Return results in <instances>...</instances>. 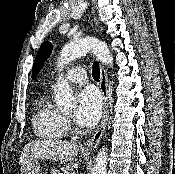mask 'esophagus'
<instances>
[{
  "label": "esophagus",
  "mask_w": 175,
  "mask_h": 174,
  "mask_svg": "<svg viewBox=\"0 0 175 174\" xmlns=\"http://www.w3.org/2000/svg\"><path fill=\"white\" fill-rule=\"evenodd\" d=\"M94 22H95V25H98V21H97L96 17H94ZM99 88H100V91L103 95V100H104L103 117H102V121H101L99 127L97 128V130L95 131V133L83 145V147L87 150H91V149H94L97 147V145L99 144V142H100V140L105 132L108 117H109L108 77H107V73H106L105 68L101 64H100Z\"/></svg>",
  "instance_id": "esophagus-1"
}]
</instances>
